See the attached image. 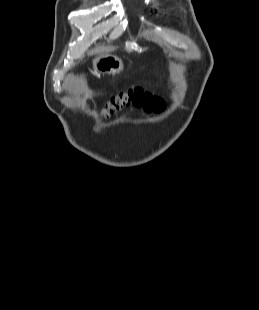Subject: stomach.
Instances as JSON below:
<instances>
[{"label": "stomach", "instance_id": "stomach-1", "mask_svg": "<svg viewBox=\"0 0 259 310\" xmlns=\"http://www.w3.org/2000/svg\"><path fill=\"white\" fill-rule=\"evenodd\" d=\"M95 71L102 73H119L124 64L120 58L111 54L98 55L92 60Z\"/></svg>", "mask_w": 259, "mask_h": 310}]
</instances>
